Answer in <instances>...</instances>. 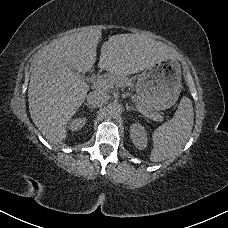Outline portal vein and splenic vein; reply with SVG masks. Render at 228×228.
Returning a JSON list of instances; mask_svg holds the SVG:
<instances>
[{
  "label": "portal vein and splenic vein",
  "instance_id": "portal-vein-and-splenic-vein-1",
  "mask_svg": "<svg viewBox=\"0 0 228 228\" xmlns=\"http://www.w3.org/2000/svg\"><path fill=\"white\" fill-rule=\"evenodd\" d=\"M93 84H94V87L98 89L102 88L107 90L114 87L113 82L105 78L94 79ZM129 100L131 101L132 99L130 98ZM132 102H133V106L138 110V112L142 115V117L149 118L150 121H153L156 123L159 121L156 117H154L153 115H150L148 112L143 110L142 107H140V105L137 102H135L134 100Z\"/></svg>",
  "mask_w": 228,
  "mask_h": 228
}]
</instances>
